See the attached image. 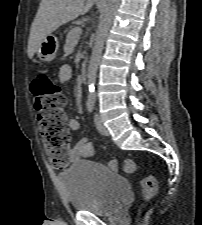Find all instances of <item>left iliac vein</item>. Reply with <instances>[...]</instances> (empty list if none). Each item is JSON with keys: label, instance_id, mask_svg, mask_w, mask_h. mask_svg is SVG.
<instances>
[{"label": "left iliac vein", "instance_id": "left-iliac-vein-1", "mask_svg": "<svg viewBox=\"0 0 202 225\" xmlns=\"http://www.w3.org/2000/svg\"><path fill=\"white\" fill-rule=\"evenodd\" d=\"M94 122H95V126H96L97 130H98L101 134L106 135V136L109 135L108 129H107L106 126L103 124V121H102V119L100 118V116H99L98 114H95Z\"/></svg>", "mask_w": 202, "mask_h": 225}]
</instances>
